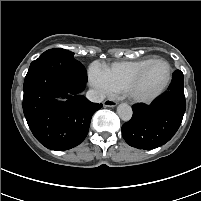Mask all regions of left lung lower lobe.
Instances as JSON below:
<instances>
[{
    "label": "left lung lower lobe",
    "mask_w": 201,
    "mask_h": 201,
    "mask_svg": "<svg viewBox=\"0 0 201 201\" xmlns=\"http://www.w3.org/2000/svg\"><path fill=\"white\" fill-rule=\"evenodd\" d=\"M132 109V118L122 126L124 140L144 150L164 145L180 127L186 109L183 73L176 70L168 91L150 105L136 104Z\"/></svg>",
    "instance_id": "obj_1"
}]
</instances>
